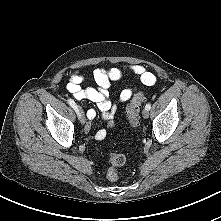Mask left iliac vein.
Here are the masks:
<instances>
[{
  "instance_id": "1",
  "label": "left iliac vein",
  "mask_w": 221,
  "mask_h": 221,
  "mask_svg": "<svg viewBox=\"0 0 221 221\" xmlns=\"http://www.w3.org/2000/svg\"><path fill=\"white\" fill-rule=\"evenodd\" d=\"M142 115H143V117L146 119V118H148L149 117V111L147 110V109H144L143 111H142Z\"/></svg>"
}]
</instances>
